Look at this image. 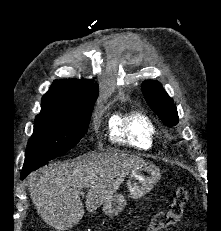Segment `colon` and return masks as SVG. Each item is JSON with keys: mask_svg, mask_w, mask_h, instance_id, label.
<instances>
[{"mask_svg": "<svg viewBox=\"0 0 221 231\" xmlns=\"http://www.w3.org/2000/svg\"><path fill=\"white\" fill-rule=\"evenodd\" d=\"M188 202V190L179 186L173 192L172 202L166 211L154 215L146 228V231H161L175 225L181 218L185 205Z\"/></svg>", "mask_w": 221, "mask_h": 231, "instance_id": "colon-1", "label": "colon"}]
</instances>
